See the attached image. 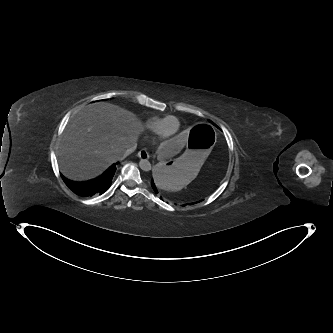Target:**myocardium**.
<instances>
[{
	"label": "myocardium",
	"instance_id": "obj_1",
	"mask_svg": "<svg viewBox=\"0 0 333 333\" xmlns=\"http://www.w3.org/2000/svg\"><path fill=\"white\" fill-rule=\"evenodd\" d=\"M175 116H168L164 121H163V123H162V125H161V127H160V129H159V131L157 132V140H158V142L160 143V144H166V143H168V142H170V141H172L176 136H177V134H178V132H179V128L177 127L176 128V131L173 133V135H171V136H167L166 134H165V126H166V123L169 121V120H171V119H174L175 120Z\"/></svg>",
	"mask_w": 333,
	"mask_h": 333
}]
</instances>
